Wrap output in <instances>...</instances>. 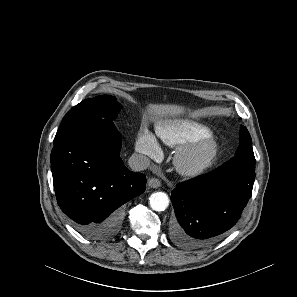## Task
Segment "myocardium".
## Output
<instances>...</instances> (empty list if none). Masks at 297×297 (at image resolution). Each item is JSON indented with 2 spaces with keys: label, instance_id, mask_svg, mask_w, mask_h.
Masks as SVG:
<instances>
[{
  "label": "myocardium",
  "instance_id": "obj_1",
  "mask_svg": "<svg viewBox=\"0 0 297 297\" xmlns=\"http://www.w3.org/2000/svg\"><path fill=\"white\" fill-rule=\"evenodd\" d=\"M219 150L212 135L199 137L178 149L174 157L176 170L183 176H197L213 164Z\"/></svg>",
  "mask_w": 297,
  "mask_h": 297
}]
</instances>
